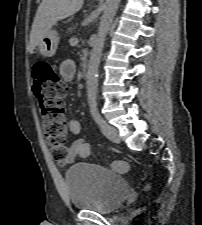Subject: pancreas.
I'll return each instance as SVG.
<instances>
[{
	"label": "pancreas",
	"instance_id": "cf45deb5",
	"mask_svg": "<svg viewBox=\"0 0 202 225\" xmlns=\"http://www.w3.org/2000/svg\"><path fill=\"white\" fill-rule=\"evenodd\" d=\"M73 30V28H70V31H72Z\"/></svg>",
	"mask_w": 202,
	"mask_h": 225
}]
</instances>
